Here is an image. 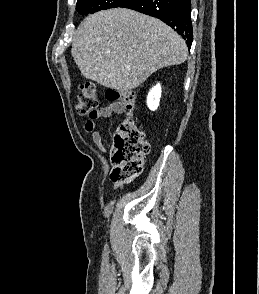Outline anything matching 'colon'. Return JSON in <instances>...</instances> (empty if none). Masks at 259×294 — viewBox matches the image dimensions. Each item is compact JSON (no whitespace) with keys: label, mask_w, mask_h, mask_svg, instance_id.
Segmentation results:
<instances>
[{"label":"colon","mask_w":259,"mask_h":294,"mask_svg":"<svg viewBox=\"0 0 259 294\" xmlns=\"http://www.w3.org/2000/svg\"><path fill=\"white\" fill-rule=\"evenodd\" d=\"M110 101L120 102L128 116L119 125L112 149L113 169L111 179L115 182L129 183L143 170L144 159L150 152V144L143 131L131 118L136 105V95L130 90L110 89L106 92ZM98 108L96 86L92 81L80 85L76 100V110L81 116H93Z\"/></svg>","instance_id":"5ec220e1"}]
</instances>
